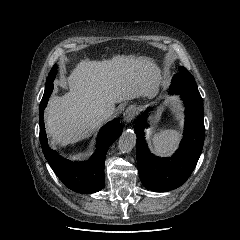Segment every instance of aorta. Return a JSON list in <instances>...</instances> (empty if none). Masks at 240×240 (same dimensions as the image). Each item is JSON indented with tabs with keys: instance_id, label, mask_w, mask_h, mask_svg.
I'll return each instance as SVG.
<instances>
[{
	"instance_id": "762f6f07",
	"label": "aorta",
	"mask_w": 240,
	"mask_h": 240,
	"mask_svg": "<svg viewBox=\"0 0 240 240\" xmlns=\"http://www.w3.org/2000/svg\"><path fill=\"white\" fill-rule=\"evenodd\" d=\"M136 144V135L134 131L127 130L119 138L118 148L121 152H130Z\"/></svg>"
}]
</instances>
